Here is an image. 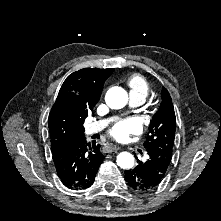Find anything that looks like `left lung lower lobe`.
<instances>
[{
	"label": "left lung lower lobe",
	"mask_w": 221,
	"mask_h": 221,
	"mask_svg": "<svg viewBox=\"0 0 221 221\" xmlns=\"http://www.w3.org/2000/svg\"><path fill=\"white\" fill-rule=\"evenodd\" d=\"M147 152L150 157L148 161L139 162L135 168L125 171L127 184L140 192L151 191L161 183L172 158L159 150Z\"/></svg>",
	"instance_id": "left-lung-lower-lobe-1"
}]
</instances>
